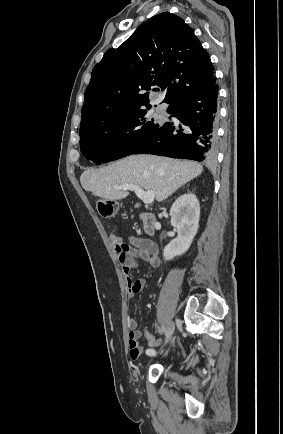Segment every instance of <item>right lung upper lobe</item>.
Here are the masks:
<instances>
[{
	"mask_svg": "<svg viewBox=\"0 0 283 434\" xmlns=\"http://www.w3.org/2000/svg\"><path fill=\"white\" fill-rule=\"evenodd\" d=\"M213 73L208 52L184 20L169 12L153 16L93 68L80 130L150 107L144 90L154 85L166 91L170 106L213 85Z\"/></svg>",
	"mask_w": 283,
	"mask_h": 434,
	"instance_id": "cb5924a9",
	"label": "right lung upper lobe"
}]
</instances>
